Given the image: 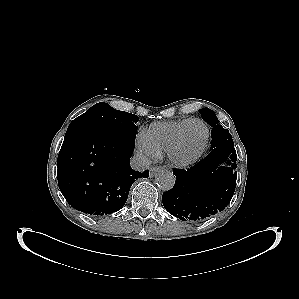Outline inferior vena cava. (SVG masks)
<instances>
[{
  "mask_svg": "<svg viewBox=\"0 0 299 299\" xmlns=\"http://www.w3.org/2000/svg\"><path fill=\"white\" fill-rule=\"evenodd\" d=\"M130 164L134 170L144 171L149 167L151 161L146 156L137 154L131 158Z\"/></svg>",
  "mask_w": 299,
  "mask_h": 299,
  "instance_id": "1",
  "label": "inferior vena cava"
}]
</instances>
